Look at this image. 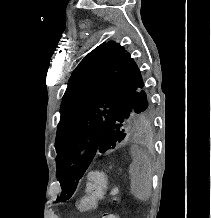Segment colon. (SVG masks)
Wrapping results in <instances>:
<instances>
[{
  "instance_id": "5ec220e1",
  "label": "colon",
  "mask_w": 211,
  "mask_h": 218,
  "mask_svg": "<svg viewBox=\"0 0 211 218\" xmlns=\"http://www.w3.org/2000/svg\"><path fill=\"white\" fill-rule=\"evenodd\" d=\"M107 184V176L104 171L95 170L88 174L86 195L79 202L82 209L94 208L102 198ZM116 192L114 191L113 194ZM101 218H119L115 213H105Z\"/></svg>"
}]
</instances>
